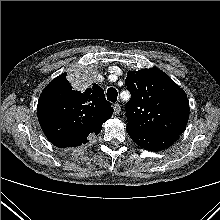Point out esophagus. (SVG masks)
<instances>
[{
  "label": "esophagus",
  "mask_w": 220,
  "mask_h": 220,
  "mask_svg": "<svg viewBox=\"0 0 220 220\" xmlns=\"http://www.w3.org/2000/svg\"><path fill=\"white\" fill-rule=\"evenodd\" d=\"M113 109H114V114L117 115L121 111V106L118 103H116L114 104Z\"/></svg>",
  "instance_id": "obj_1"
}]
</instances>
